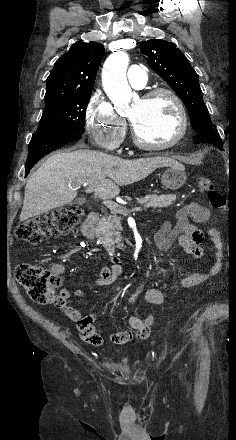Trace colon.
I'll list each match as a JSON object with an SVG mask.
<instances>
[{"label":"colon","mask_w":236,"mask_h":440,"mask_svg":"<svg viewBox=\"0 0 236 440\" xmlns=\"http://www.w3.org/2000/svg\"><path fill=\"white\" fill-rule=\"evenodd\" d=\"M197 183L199 191L207 196L215 210L230 209V206H227V199L215 188L210 178L201 176ZM82 216L83 210L80 207L59 208L22 222L17 227L16 233L20 240L38 245L48 238L75 231ZM15 277L34 302L57 307L64 305L63 299L55 293L62 279L60 274L53 269L32 263H19L15 269ZM143 324H150L152 327L154 317L148 315Z\"/></svg>","instance_id":"5ec220e1"}]
</instances>
